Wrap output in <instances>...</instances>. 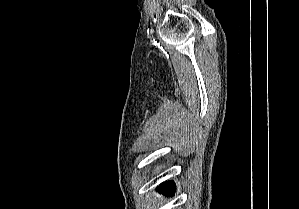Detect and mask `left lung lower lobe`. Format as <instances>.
I'll list each match as a JSON object with an SVG mask.
<instances>
[{
    "mask_svg": "<svg viewBox=\"0 0 299 209\" xmlns=\"http://www.w3.org/2000/svg\"><path fill=\"white\" fill-rule=\"evenodd\" d=\"M157 190L165 195H172L174 192V184L172 182L163 183Z\"/></svg>",
    "mask_w": 299,
    "mask_h": 209,
    "instance_id": "obj_1",
    "label": "left lung lower lobe"
}]
</instances>
